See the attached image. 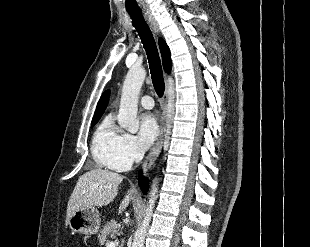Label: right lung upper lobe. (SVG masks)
<instances>
[{"label":"right lung upper lobe","instance_id":"cb5924a9","mask_svg":"<svg viewBox=\"0 0 310 247\" xmlns=\"http://www.w3.org/2000/svg\"><path fill=\"white\" fill-rule=\"evenodd\" d=\"M159 47H160V51H161V55H162V59H163L164 70L167 73H169L171 71V68H172L170 50H169L167 44L162 39L159 40ZM109 95H110L109 90L105 91L101 95L93 118L98 117V116H102V114L104 113L106 106L108 104Z\"/></svg>","mask_w":310,"mask_h":247}]
</instances>
